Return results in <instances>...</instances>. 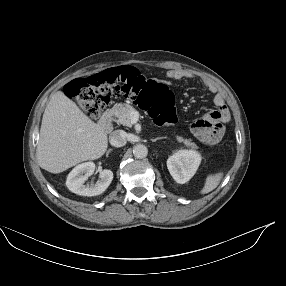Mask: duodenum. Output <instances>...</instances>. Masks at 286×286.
<instances>
[{
  "mask_svg": "<svg viewBox=\"0 0 286 286\" xmlns=\"http://www.w3.org/2000/svg\"><path fill=\"white\" fill-rule=\"evenodd\" d=\"M100 123L104 131L111 132L113 130V122L111 119V112L109 110L104 111Z\"/></svg>",
  "mask_w": 286,
  "mask_h": 286,
  "instance_id": "duodenum-1",
  "label": "duodenum"
}]
</instances>
